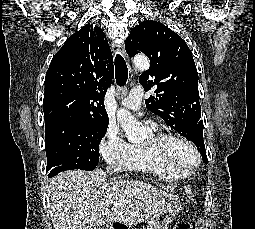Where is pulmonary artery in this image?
Wrapping results in <instances>:
<instances>
[{
	"mask_svg": "<svg viewBox=\"0 0 255 229\" xmlns=\"http://www.w3.org/2000/svg\"><path fill=\"white\" fill-rule=\"evenodd\" d=\"M142 98L143 90L141 86L136 85L130 90L128 96L121 101V104L128 109L137 111L141 107ZM150 125L154 126L153 123H150Z\"/></svg>",
	"mask_w": 255,
	"mask_h": 229,
	"instance_id": "e3ab8cb5",
	"label": "pulmonary artery"
}]
</instances>
